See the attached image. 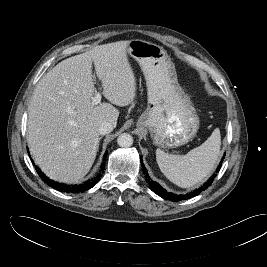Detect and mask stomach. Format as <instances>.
Instances as JSON below:
<instances>
[{
  "label": "stomach",
  "instance_id": "1",
  "mask_svg": "<svg viewBox=\"0 0 267 267\" xmlns=\"http://www.w3.org/2000/svg\"><path fill=\"white\" fill-rule=\"evenodd\" d=\"M127 52L139 63L147 86L148 106L137 126L148 129L157 146L174 148L188 143L196 135L200 119L167 52L139 39L129 41Z\"/></svg>",
  "mask_w": 267,
  "mask_h": 267
}]
</instances>
